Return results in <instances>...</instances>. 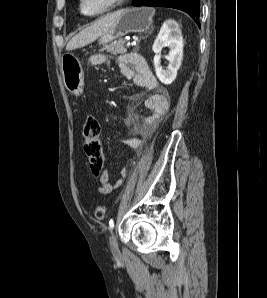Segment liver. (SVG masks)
<instances>
[{
	"label": "liver",
	"instance_id": "obj_1",
	"mask_svg": "<svg viewBox=\"0 0 267 298\" xmlns=\"http://www.w3.org/2000/svg\"><path fill=\"white\" fill-rule=\"evenodd\" d=\"M119 14L120 12L117 11L96 20L92 25L83 29L77 35H75L68 42L66 50L70 51L83 47L101 37L113 25Z\"/></svg>",
	"mask_w": 267,
	"mask_h": 298
}]
</instances>
